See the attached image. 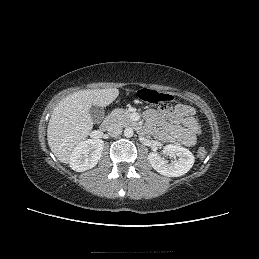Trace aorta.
I'll return each instance as SVG.
<instances>
[{"label": "aorta", "instance_id": "aorta-1", "mask_svg": "<svg viewBox=\"0 0 259 259\" xmlns=\"http://www.w3.org/2000/svg\"><path fill=\"white\" fill-rule=\"evenodd\" d=\"M134 134V131L132 128L128 127V128H125L124 130V136L127 137V138H131Z\"/></svg>", "mask_w": 259, "mask_h": 259}]
</instances>
